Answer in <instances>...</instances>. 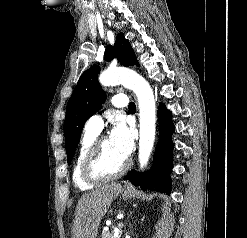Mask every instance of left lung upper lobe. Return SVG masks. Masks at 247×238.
<instances>
[{
	"label": "left lung upper lobe",
	"mask_w": 247,
	"mask_h": 238,
	"mask_svg": "<svg viewBox=\"0 0 247 238\" xmlns=\"http://www.w3.org/2000/svg\"><path fill=\"white\" fill-rule=\"evenodd\" d=\"M115 57L124 66H139L129 41L122 33L117 35L114 47L109 45L105 50L107 61ZM99 71L100 67L97 65L86 70L67 103L64 135L68 163L73 159L85 121L94 115L105 101V93L98 82Z\"/></svg>",
	"instance_id": "1"
}]
</instances>
